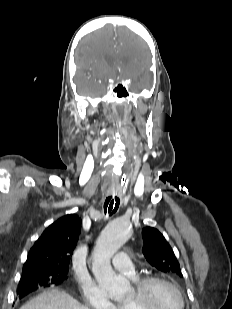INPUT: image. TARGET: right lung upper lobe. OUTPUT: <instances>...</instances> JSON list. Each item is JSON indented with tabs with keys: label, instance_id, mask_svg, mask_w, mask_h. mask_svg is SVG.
I'll return each instance as SVG.
<instances>
[{
	"label": "right lung upper lobe",
	"instance_id": "obj_1",
	"mask_svg": "<svg viewBox=\"0 0 232 309\" xmlns=\"http://www.w3.org/2000/svg\"><path fill=\"white\" fill-rule=\"evenodd\" d=\"M80 230L81 219L76 214L52 223L30 249L22 273L46 270L67 273Z\"/></svg>",
	"mask_w": 232,
	"mask_h": 309
}]
</instances>
